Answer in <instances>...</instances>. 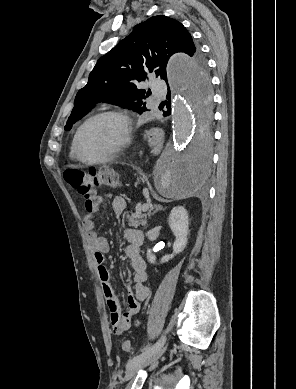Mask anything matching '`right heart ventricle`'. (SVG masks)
<instances>
[{
  "label": "right heart ventricle",
  "instance_id": "1",
  "mask_svg": "<svg viewBox=\"0 0 296 389\" xmlns=\"http://www.w3.org/2000/svg\"><path fill=\"white\" fill-rule=\"evenodd\" d=\"M70 157L72 159H75V154H74V141L72 142V145H71V150H70Z\"/></svg>",
  "mask_w": 296,
  "mask_h": 389
}]
</instances>
